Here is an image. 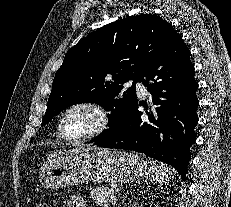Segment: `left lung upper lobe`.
Wrapping results in <instances>:
<instances>
[{"instance_id":"obj_1","label":"left lung upper lobe","mask_w":231,"mask_h":207,"mask_svg":"<svg viewBox=\"0 0 231 207\" xmlns=\"http://www.w3.org/2000/svg\"><path fill=\"white\" fill-rule=\"evenodd\" d=\"M181 36L171 24L154 14L130 16L92 32L71 48L53 80L42 126L63 109L96 102L111 111L110 128L116 130L125 112L137 101L135 82L148 62Z\"/></svg>"}]
</instances>
